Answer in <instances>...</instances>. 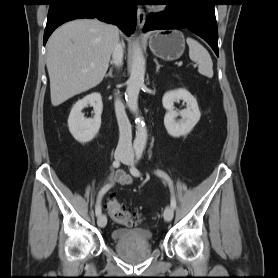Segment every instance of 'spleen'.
Listing matches in <instances>:
<instances>
[{
  "instance_id": "spleen-1",
  "label": "spleen",
  "mask_w": 278,
  "mask_h": 278,
  "mask_svg": "<svg viewBox=\"0 0 278 278\" xmlns=\"http://www.w3.org/2000/svg\"><path fill=\"white\" fill-rule=\"evenodd\" d=\"M189 57L198 64V72L208 78L213 77V62L208 51L195 39L188 37Z\"/></svg>"
}]
</instances>
